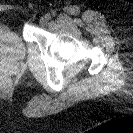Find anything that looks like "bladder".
I'll list each match as a JSON object with an SVG mask.
<instances>
[{"mask_svg": "<svg viewBox=\"0 0 133 133\" xmlns=\"http://www.w3.org/2000/svg\"><path fill=\"white\" fill-rule=\"evenodd\" d=\"M26 55L23 37L12 26L0 23V59L17 61Z\"/></svg>", "mask_w": 133, "mask_h": 133, "instance_id": "1", "label": "bladder"}]
</instances>
